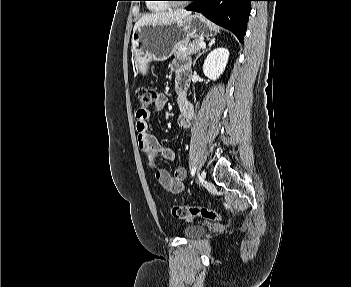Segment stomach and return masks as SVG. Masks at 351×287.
Wrapping results in <instances>:
<instances>
[{"label": "stomach", "mask_w": 351, "mask_h": 287, "mask_svg": "<svg viewBox=\"0 0 351 287\" xmlns=\"http://www.w3.org/2000/svg\"><path fill=\"white\" fill-rule=\"evenodd\" d=\"M218 31L217 26L199 14L190 15L176 23L140 26L132 35L135 67L146 74L149 63L170 58L176 44L190 38L212 37Z\"/></svg>", "instance_id": "stomach-1"}]
</instances>
